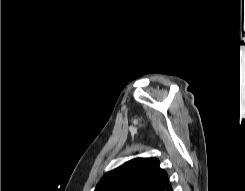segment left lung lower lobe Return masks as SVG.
Listing matches in <instances>:
<instances>
[{
    "instance_id": "obj_1",
    "label": "left lung lower lobe",
    "mask_w": 245,
    "mask_h": 191,
    "mask_svg": "<svg viewBox=\"0 0 245 191\" xmlns=\"http://www.w3.org/2000/svg\"><path fill=\"white\" fill-rule=\"evenodd\" d=\"M161 191H173L171 184L168 183L167 185H165V186L161 189Z\"/></svg>"
}]
</instances>
